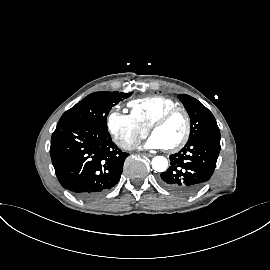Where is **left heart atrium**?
<instances>
[{
  "instance_id": "1",
  "label": "left heart atrium",
  "mask_w": 270,
  "mask_h": 270,
  "mask_svg": "<svg viewBox=\"0 0 270 270\" xmlns=\"http://www.w3.org/2000/svg\"><path fill=\"white\" fill-rule=\"evenodd\" d=\"M145 147L149 149H164L165 148L163 143L160 141V139L155 135H152L147 140Z\"/></svg>"
}]
</instances>
